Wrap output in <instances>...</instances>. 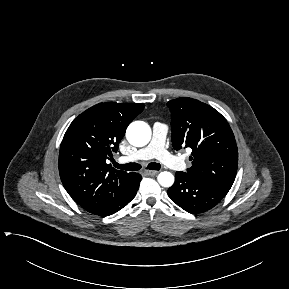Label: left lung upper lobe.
<instances>
[{
    "mask_svg": "<svg viewBox=\"0 0 289 289\" xmlns=\"http://www.w3.org/2000/svg\"><path fill=\"white\" fill-rule=\"evenodd\" d=\"M167 106L173 147L193 150L187 173L230 189L237 172L238 150L227 120L211 106L188 97L171 100Z\"/></svg>",
    "mask_w": 289,
    "mask_h": 289,
    "instance_id": "obj_1",
    "label": "left lung upper lobe"
}]
</instances>
